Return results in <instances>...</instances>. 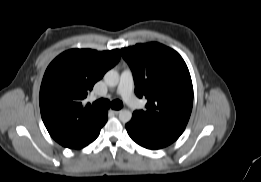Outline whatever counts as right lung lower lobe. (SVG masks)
Instances as JSON below:
<instances>
[{
  "label": "right lung lower lobe",
  "mask_w": 261,
  "mask_h": 182,
  "mask_svg": "<svg viewBox=\"0 0 261 182\" xmlns=\"http://www.w3.org/2000/svg\"><path fill=\"white\" fill-rule=\"evenodd\" d=\"M106 122H107V111H104V114L102 116L100 123L90 132V134L85 139V141L75 149L83 148L86 145L90 144L92 141H94L98 137V135L100 133V129L103 127V125H105Z\"/></svg>",
  "instance_id": "right-lung-lower-lobe-1"
}]
</instances>
